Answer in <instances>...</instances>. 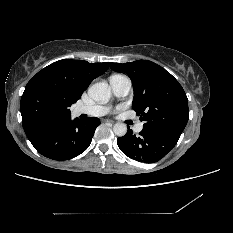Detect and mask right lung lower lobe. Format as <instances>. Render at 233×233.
<instances>
[{"label": "right lung lower lobe", "mask_w": 233, "mask_h": 233, "mask_svg": "<svg viewBox=\"0 0 233 233\" xmlns=\"http://www.w3.org/2000/svg\"><path fill=\"white\" fill-rule=\"evenodd\" d=\"M100 120L96 117L86 120H70L59 125L42 137L31 141L43 156L53 160H68L84 152L90 145Z\"/></svg>", "instance_id": "1"}]
</instances>
